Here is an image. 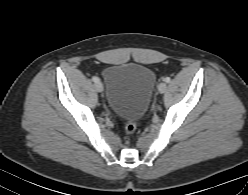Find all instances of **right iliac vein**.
<instances>
[{"label": "right iliac vein", "instance_id": "right-iliac-vein-1", "mask_svg": "<svg viewBox=\"0 0 248 195\" xmlns=\"http://www.w3.org/2000/svg\"><path fill=\"white\" fill-rule=\"evenodd\" d=\"M95 89H96V91H98V92H102L103 89H104L102 83H101V82H97V83L95 84Z\"/></svg>", "mask_w": 248, "mask_h": 195}]
</instances>
